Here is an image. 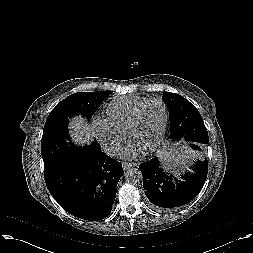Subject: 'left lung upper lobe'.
Returning a JSON list of instances; mask_svg holds the SVG:
<instances>
[{"label":"left lung upper lobe","instance_id":"left-lung-upper-lobe-1","mask_svg":"<svg viewBox=\"0 0 253 253\" xmlns=\"http://www.w3.org/2000/svg\"><path fill=\"white\" fill-rule=\"evenodd\" d=\"M163 100L170 111V135L172 142L185 139L197 142L205 148L208 132L197 108L179 94L164 92Z\"/></svg>","mask_w":253,"mask_h":253}]
</instances>
